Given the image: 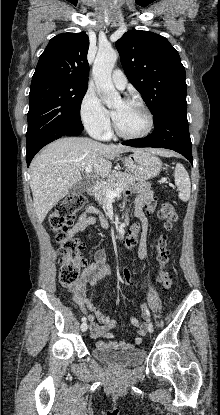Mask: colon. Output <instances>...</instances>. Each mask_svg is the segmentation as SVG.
I'll return each instance as SVG.
<instances>
[{
    "label": "colon",
    "instance_id": "colon-1",
    "mask_svg": "<svg viewBox=\"0 0 220 415\" xmlns=\"http://www.w3.org/2000/svg\"><path fill=\"white\" fill-rule=\"evenodd\" d=\"M87 198L83 194L70 196L61 201L48 215V225L56 235V241L61 255L59 282L62 287L73 286L80 274L83 261L80 252L83 248L82 243L69 233L75 216L83 209ZM150 210V208H148ZM159 219L167 231H173L178 219L177 211L173 204L165 203L159 210ZM169 241L167 237H160L157 244V261L160 266L159 282L164 290H169L174 282L173 277L165 271V266L169 261ZM124 283L130 281L128 270L123 271Z\"/></svg>",
    "mask_w": 220,
    "mask_h": 415
}]
</instances>
